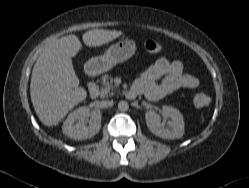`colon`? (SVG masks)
Wrapping results in <instances>:
<instances>
[{
    "instance_id": "colon-1",
    "label": "colon",
    "mask_w": 249,
    "mask_h": 188,
    "mask_svg": "<svg viewBox=\"0 0 249 188\" xmlns=\"http://www.w3.org/2000/svg\"><path fill=\"white\" fill-rule=\"evenodd\" d=\"M145 48L150 53H160L163 51L164 46L155 40H147L145 42ZM210 103V98L206 94H199L194 98V104L196 107H206Z\"/></svg>"
}]
</instances>
